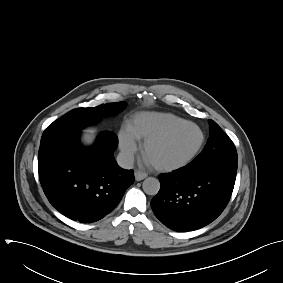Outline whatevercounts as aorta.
<instances>
[{"mask_svg":"<svg viewBox=\"0 0 283 283\" xmlns=\"http://www.w3.org/2000/svg\"><path fill=\"white\" fill-rule=\"evenodd\" d=\"M142 188L148 195H156L160 189V182L154 177H148L143 181Z\"/></svg>","mask_w":283,"mask_h":283,"instance_id":"762f6f07","label":"aorta"}]
</instances>
